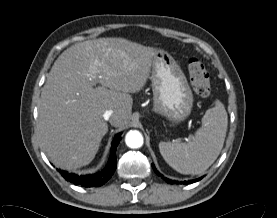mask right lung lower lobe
<instances>
[{"mask_svg":"<svg viewBox=\"0 0 277 218\" xmlns=\"http://www.w3.org/2000/svg\"><path fill=\"white\" fill-rule=\"evenodd\" d=\"M121 140L120 134L116 136L112 143V149L107 166L99 173L93 175L78 176L75 174H69L65 171L59 170L61 175L68 181L75 185H81L83 187H98L108 181L113 175L116 169V149Z\"/></svg>","mask_w":277,"mask_h":218,"instance_id":"obj_1","label":"right lung lower lobe"}]
</instances>
